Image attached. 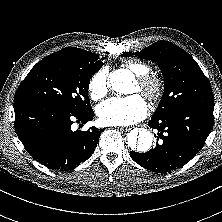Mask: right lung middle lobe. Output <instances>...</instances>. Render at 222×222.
I'll list each match as a JSON object with an SVG mask.
<instances>
[{
	"label": "right lung middle lobe",
	"instance_id": "obj_1",
	"mask_svg": "<svg viewBox=\"0 0 222 222\" xmlns=\"http://www.w3.org/2000/svg\"><path fill=\"white\" fill-rule=\"evenodd\" d=\"M95 56L83 60L43 59L20 84L16 101H43L73 113L92 110L88 96L91 76L102 66Z\"/></svg>",
	"mask_w": 222,
	"mask_h": 222
}]
</instances>
